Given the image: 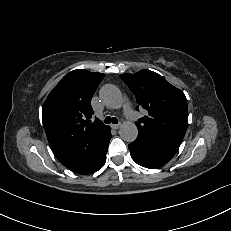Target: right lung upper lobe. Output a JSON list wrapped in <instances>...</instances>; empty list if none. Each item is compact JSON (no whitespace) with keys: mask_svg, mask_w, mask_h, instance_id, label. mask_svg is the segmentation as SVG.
Here are the masks:
<instances>
[{"mask_svg":"<svg viewBox=\"0 0 231 231\" xmlns=\"http://www.w3.org/2000/svg\"><path fill=\"white\" fill-rule=\"evenodd\" d=\"M104 76L83 69L71 71L43 105L42 121L48 141L64 166L74 165L89 140L108 128L98 119L90 120L94 114L91 98Z\"/></svg>","mask_w":231,"mask_h":231,"instance_id":"obj_1","label":"right lung upper lobe"}]
</instances>
